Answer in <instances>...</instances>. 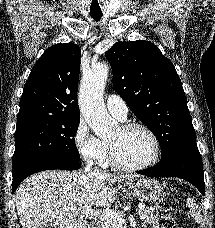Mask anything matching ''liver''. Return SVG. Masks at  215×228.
<instances>
[{
    "label": "liver",
    "mask_w": 215,
    "mask_h": 228,
    "mask_svg": "<svg viewBox=\"0 0 215 228\" xmlns=\"http://www.w3.org/2000/svg\"><path fill=\"white\" fill-rule=\"evenodd\" d=\"M131 178L140 176H87L63 170L33 174L15 192L19 222L22 228H90L84 208H108L115 200L111 186Z\"/></svg>",
    "instance_id": "obj_1"
}]
</instances>
